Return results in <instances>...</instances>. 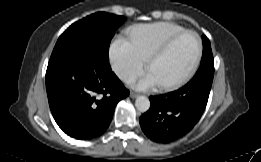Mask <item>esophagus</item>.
<instances>
[{
  "mask_svg": "<svg viewBox=\"0 0 261 162\" xmlns=\"http://www.w3.org/2000/svg\"><path fill=\"white\" fill-rule=\"evenodd\" d=\"M130 97L131 98H137L138 97V94L134 93V92H130Z\"/></svg>",
  "mask_w": 261,
  "mask_h": 162,
  "instance_id": "1",
  "label": "esophagus"
}]
</instances>
